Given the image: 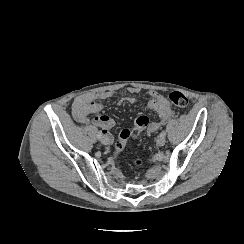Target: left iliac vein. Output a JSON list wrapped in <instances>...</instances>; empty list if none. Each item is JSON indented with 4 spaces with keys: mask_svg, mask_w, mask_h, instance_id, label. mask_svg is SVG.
<instances>
[{
    "mask_svg": "<svg viewBox=\"0 0 244 244\" xmlns=\"http://www.w3.org/2000/svg\"><path fill=\"white\" fill-rule=\"evenodd\" d=\"M166 140L164 137H158L156 140V143L158 146H163L165 144Z\"/></svg>",
    "mask_w": 244,
    "mask_h": 244,
    "instance_id": "left-iliac-vein-1",
    "label": "left iliac vein"
}]
</instances>
